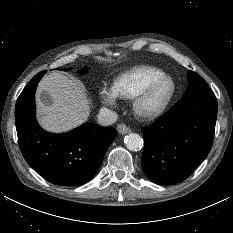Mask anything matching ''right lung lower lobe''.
<instances>
[{
    "label": "right lung lower lobe",
    "mask_w": 233,
    "mask_h": 233,
    "mask_svg": "<svg viewBox=\"0 0 233 233\" xmlns=\"http://www.w3.org/2000/svg\"><path fill=\"white\" fill-rule=\"evenodd\" d=\"M45 73L35 75L17 99L19 146L27 163L47 181L60 186L82 185L96 174L117 132L93 123L65 134L44 131L35 118V91Z\"/></svg>",
    "instance_id": "obj_1"
}]
</instances>
